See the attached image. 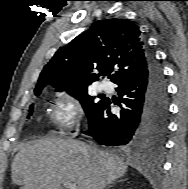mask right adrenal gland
I'll use <instances>...</instances> for the list:
<instances>
[{
	"label": "right adrenal gland",
	"mask_w": 188,
	"mask_h": 189,
	"mask_svg": "<svg viewBox=\"0 0 188 189\" xmlns=\"http://www.w3.org/2000/svg\"><path fill=\"white\" fill-rule=\"evenodd\" d=\"M114 183H115V182H114ZM114 183H113V184H114ZM113 184H112V185H109V186H108L106 189H109L110 187H112V186H113Z\"/></svg>",
	"instance_id": "right-adrenal-gland-1"
}]
</instances>
